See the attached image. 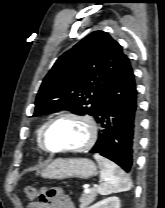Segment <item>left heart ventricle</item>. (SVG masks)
<instances>
[{
    "label": "left heart ventricle",
    "mask_w": 165,
    "mask_h": 208,
    "mask_svg": "<svg viewBox=\"0 0 165 208\" xmlns=\"http://www.w3.org/2000/svg\"><path fill=\"white\" fill-rule=\"evenodd\" d=\"M88 138L85 124L75 119H61L47 132L46 144L51 149L73 148L84 144Z\"/></svg>",
    "instance_id": "left-heart-ventricle-1"
}]
</instances>
